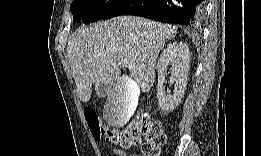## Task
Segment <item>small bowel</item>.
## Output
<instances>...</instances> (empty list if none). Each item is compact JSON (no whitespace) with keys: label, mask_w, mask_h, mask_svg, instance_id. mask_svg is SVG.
<instances>
[{"label":"small bowel","mask_w":261,"mask_h":156,"mask_svg":"<svg viewBox=\"0 0 261 156\" xmlns=\"http://www.w3.org/2000/svg\"><path fill=\"white\" fill-rule=\"evenodd\" d=\"M97 119L99 120L98 115H97ZM112 155L124 156V155H126V153H125L124 150L113 148V149H111V155L110 156H112Z\"/></svg>","instance_id":"1"}]
</instances>
